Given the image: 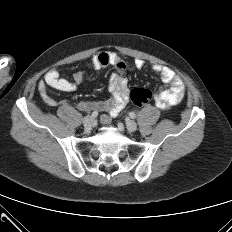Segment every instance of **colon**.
<instances>
[{"label": "colon", "mask_w": 232, "mask_h": 232, "mask_svg": "<svg viewBox=\"0 0 232 232\" xmlns=\"http://www.w3.org/2000/svg\"><path fill=\"white\" fill-rule=\"evenodd\" d=\"M152 92L146 88H134L130 91L131 102L136 106H142L151 101Z\"/></svg>", "instance_id": "colon-1"}]
</instances>
